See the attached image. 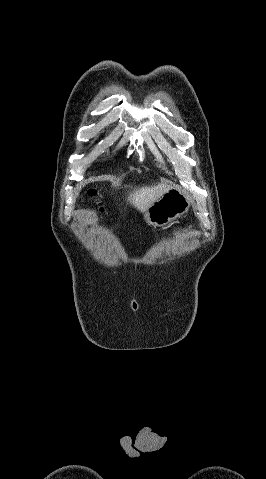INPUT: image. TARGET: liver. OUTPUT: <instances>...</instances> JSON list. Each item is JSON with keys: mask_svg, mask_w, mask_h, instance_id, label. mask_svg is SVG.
<instances>
[{"mask_svg": "<svg viewBox=\"0 0 266 479\" xmlns=\"http://www.w3.org/2000/svg\"><path fill=\"white\" fill-rule=\"evenodd\" d=\"M169 189L170 186L164 183L154 186H143L134 189L133 192L129 194L127 201L143 213L153 202L158 200Z\"/></svg>", "mask_w": 266, "mask_h": 479, "instance_id": "liver-1", "label": "liver"}]
</instances>
